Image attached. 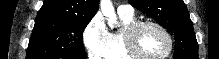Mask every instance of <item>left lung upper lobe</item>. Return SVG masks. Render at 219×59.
Returning a JSON list of instances; mask_svg holds the SVG:
<instances>
[{
  "mask_svg": "<svg viewBox=\"0 0 219 59\" xmlns=\"http://www.w3.org/2000/svg\"><path fill=\"white\" fill-rule=\"evenodd\" d=\"M174 34V59H199L198 43L183 0H128Z\"/></svg>",
  "mask_w": 219,
  "mask_h": 59,
  "instance_id": "obj_1",
  "label": "left lung upper lobe"
}]
</instances>
